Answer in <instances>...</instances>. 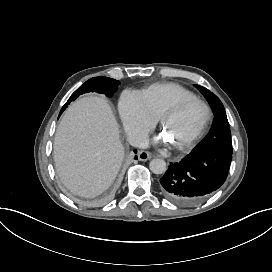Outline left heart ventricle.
Masks as SVG:
<instances>
[{"instance_id": "b2bd125f", "label": "left heart ventricle", "mask_w": 272, "mask_h": 272, "mask_svg": "<svg viewBox=\"0 0 272 272\" xmlns=\"http://www.w3.org/2000/svg\"><path fill=\"white\" fill-rule=\"evenodd\" d=\"M201 119V108L193 105L180 113L168 114L166 127L169 128L171 135L184 143L192 131L199 125Z\"/></svg>"}]
</instances>
